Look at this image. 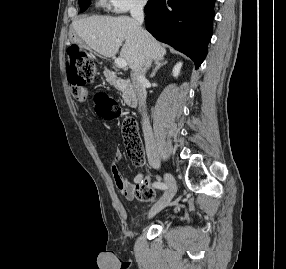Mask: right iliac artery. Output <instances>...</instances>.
Segmentation results:
<instances>
[{"mask_svg": "<svg viewBox=\"0 0 286 269\" xmlns=\"http://www.w3.org/2000/svg\"><path fill=\"white\" fill-rule=\"evenodd\" d=\"M153 186H154L155 188H158V189H166V188H167V186H166L165 183H163V182H155V183L153 184Z\"/></svg>", "mask_w": 286, "mask_h": 269, "instance_id": "right-iliac-artery-1", "label": "right iliac artery"}]
</instances>
